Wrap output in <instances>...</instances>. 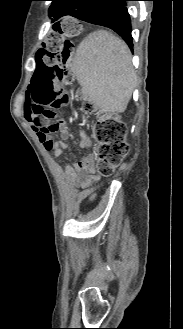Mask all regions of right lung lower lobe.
Returning <instances> with one entry per match:
<instances>
[{"mask_svg": "<svg viewBox=\"0 0 183 329\" xmlns=\"http://www.w3.org/2000/svg\"><path fill=\"white\" fill-rule=\"evenodd\" d=\"M129 0H59L50 11L56 19L70 15L80 20L102 25L117 32L132 50L131 20L126 8Z\"/></svg>", "mask_w": 183, "mask_h": 329, "instance_id": "1", "label": "right lung lower lobe"}]
</instances>
